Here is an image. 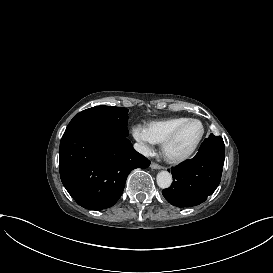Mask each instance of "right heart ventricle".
<instances>
[{"label":"right heart ventricle","mask_w":273,"mask_h":273,"mask_svg":"<svg viewBox=\"0 0 273 273\" xmlns=\"http://www.w3.org/2000/svg\"><path fill=\"white\" fill-rule=\"evenodd\" d=\"M189 117H173L164 120L152 121L147 124L145 131L152 143L161 144L172 130Z\"/></svg>","instance_id":"e07e8e85"}]
</instances>
